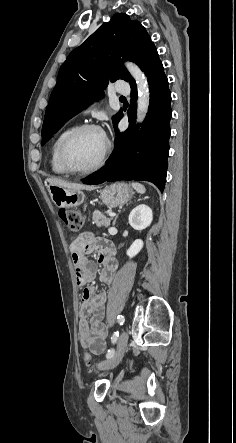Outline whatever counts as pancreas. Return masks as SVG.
<instances>
[{
	"label": "pancreas",
	"mask_w": 236,
	"mask_h": 443,
	"mask_svg": "<svg viewBox=\"0 0 236 443\" xmlns=\"http://www.w3.org/2000/svg\"><path fill=\"white\" fill-rule=\"evenodd\" d=\"M111 220H112V218L106 217L101 212L94 211L93 217H92V224L93 225L95 224L97 227H109Z\"/></svg>",
	"instance_id": "1"
}]
</instances>
